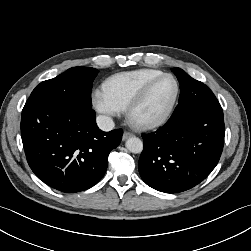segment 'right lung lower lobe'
Masks as SVG:
<instances>
[{
    "label": "right lung lower lobe",
    "mask_w": 251,
    "mask_h": 251,
    "mask_svg": "<svg viewBox=\"0 0 251 251\" xmlns=\"http://www.w3.org/2000/svg\"><path fill=\"white\" fill-rule=\"evenodd\" d=\"M21 135L28 164L44 183L73 193L94 186L122 130L101 131L92 108H73L29 98L22 110Z\"/></svg>",
    "instance_id": "right-lung-lower-lobe-1"
}]
</instances>
